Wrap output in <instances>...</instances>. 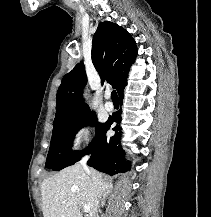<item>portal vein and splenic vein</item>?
Listing matches in <instances>:
<instances>
[{"label":"portal vein and splenic vein","instance_id":"1","mask_svg":"<svg viewBox=\"0 0 211 217\" xmlns=\"http://www.w3.org/2000/svg\"><path fill=\"white\" fill-rule=\"evenodd\" d=\"M84 212H89L90 207L88 205H83Z\"/></svg>","mask_w":211,"mask_h":217}]
</instances>
